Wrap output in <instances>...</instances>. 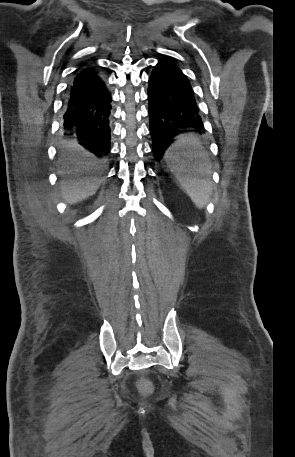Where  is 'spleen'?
I'll return each instance as SVG.
<instances>
[{
	"label": "spleen",
	"mask_w": 295,
	"mask_h": 457,
	"mask_svg": "<svg viewBox=\"0 0 295 457\" xmlns=\"http://www.w3.org/2000/svg\"><path fill=\"white\" fill-rule=\"evenodd\" d=\"M165 158L194 204L203 208L210 199L212 186L204 174L207 164L199 139L192 133L180 135Z\"/></svg>",
	"instance_id": "spleen-1"
}]
</instances>
